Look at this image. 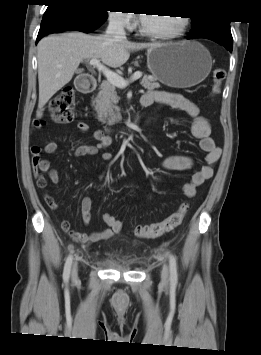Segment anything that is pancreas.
I'll return each mask as SVG.
<instances>
[{"label": "pancreas", "mask_w": 261, "mask_h": 355, "mask_svg": "<svg viewBox=\"0 0 261 355\" xmlns=\"http://www.w3.org/2000/svg\"><path fill=\"white\" fill-rule=\"evenodd\" d=\"M141 85L148 90L160 88V84L153 77L147 75H144ZM118 101L116 87L109 81H103L99 93L92 101L97 112V119L107 125L118 123L122 119L120 108L117 106Z\"/></svg>", "instance_id": "1"}]
</instances>
